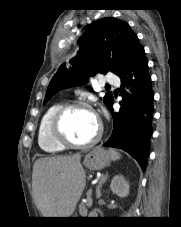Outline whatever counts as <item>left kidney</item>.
I'll return each mask as SVG.
<instances>
[{"mask_svg":"<svg viewBox=\"0 0 181 227\" xmlns=\"http://www.w3.org/2000/svg\"><path fill=\"white\" fill-rule=\"evenodd\" d=\"M110 188L113 193L119 197H126L129 194V184L122 175H116L113 177Z\"/></svg>","mask_w":181,"mask_h":227,"instance_id":"left-kidney-1","label":"left kidney"}]
</instances>
